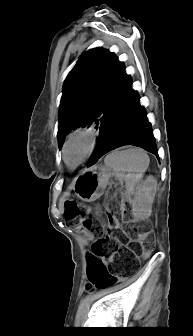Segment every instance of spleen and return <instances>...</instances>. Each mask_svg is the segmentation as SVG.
I'll use <instances>...</instances> for the list:
<instances>
[{
  "label": "spleen",
  "mask_w": 193,
  "mask_h": 336,
  "mask_svg": "<svg viewBox=\"0 0 193 336\" xmlns=\"http://www.w3.org/2000/svg\"><path fill=\"white\" fill-rule=\"evenodd\" d=\"M104 162L115 176L124 179L126 187L124 197L129 199L147 170L150 159L143 149L131 147L112 151L105 157Z\"/></svg>",
  "instance_id": "1"
}]
</instances>
